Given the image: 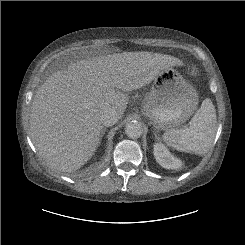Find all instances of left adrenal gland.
Wrapping results in <instances>:
<instances>
[{"label":"left adrenal gland","mask_w":245,"mask_h":245,"mask_svg":"<svg viewBox=\"0 0 245 245\" xmlns=\"http://www.w3.org/2000/svg\"><path fill=\"white\" fill-rule=\"evenodd\" d=\"M154 136L156 140H159V137L157 136L156 132H154Z\"/></svg>","instance_id":"obj_1"}]
</instances>
